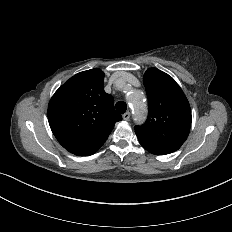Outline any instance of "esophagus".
Wrapping results in <instances>:
<instances>
[{
    "instance_id": "34e87169",
    "label": "esophagus",
    "mask_w": 232,
    "mask_h": 232,
    "mask_svg": "<svg viewBox=\"0 0 232 232\" xmlns=\"http://www.w3.org/2000/svg\"><path fill=\"white\" fill-rule=\"evenodd\" d=\"M122 117L125 121H128L130 119V112L127 111L126 113L123 114Z\"/></svg>"
}]
</instances>
